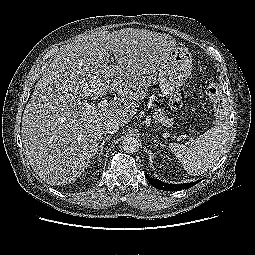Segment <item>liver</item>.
I'll return each mask as SVG.
<instances>
[{"mask_svg": "<svg viewBox=\"0 0 255 255\" xmlns=\"http://www.w3.org/2000/svg\"><path fill=\"white\" fill-rule=\"evenodd\" d=\"M175 47L169 34L134 28L89 31L60 47L22 117L23 145L34 172L49 185L75 181L103 139L106 123L130 122ZM111 53L116 65L109 64ZM110 91L120 98L86 109L87 100Z\"/></svg>", "mask_w": 255, "mask_h": 255, "instance_id": "6515ba94", "label": "liver"}]
</instances>
